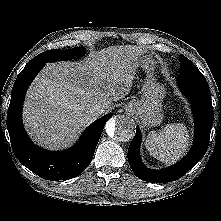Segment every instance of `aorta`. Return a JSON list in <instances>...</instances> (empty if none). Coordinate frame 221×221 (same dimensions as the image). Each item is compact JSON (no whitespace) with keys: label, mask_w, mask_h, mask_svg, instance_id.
<instances>
[{"label":"aorta","mask_w":221,"mask_h":221,"mask_svg":"<svg viewBox=\"0 0 221 221\" xmlns=\"http://www.w3.org/2000/svg\"><path fill=\"white\" fill-rule=\"evenodd\" d=\"M105 130L111 139L119 142H126L134 137L136 126L129 117L117 115L107 121Z\"/></svg>","instance_id":"1"}]
</instances>
